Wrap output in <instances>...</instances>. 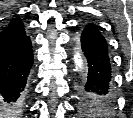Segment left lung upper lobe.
I'll return each mask as SVG.
<instances>
[{
	"mask_svg": "<svg viewBox=\"0 0 133 118\" xmlns=\"http://www.w3.org/2000/svg\"><path fill=\"white\" fill-rule=\"evenodd\" d=\"M79 109L83 114L93 115L111 109L114 101L106 97H97L83 87L78 90Z\"/></svg>",
	"mask_w": 133,
	"mask_h": 118,
	"instance_id": "obj_1",
	"label": "left lung upper lobe"
}]
</instances>
